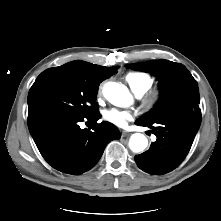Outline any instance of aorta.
<instances>
[{
	"label": "aorta",
	"instance_id": "762f6f07",
	"mask_svg": "<svg viewBox=\"0 0 221 221\" xmlns=\"http://www.w3.org/2000/svg\"><path fill=\"white\" fill-rule=\"evenodd\" d=\"M104 97L114 106L125 107L130 104L132 97L126 86L108 82L103 87ZM148 145L147 138L141 133H135L129 140V147L135 153L142 152Z\"/></svg>",
	"mask_w": 221,
	"mask_h": 221
}]
</instances>
